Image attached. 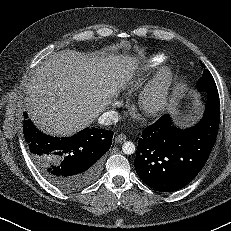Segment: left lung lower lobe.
<instances>
[{
  "label": "left lung lower lobe",
  "mask_w": 231,
  "mask_h": 231,
  "mask_svg": "<svg viewBox=\"0 0 231 231\" xmlns=\"http://www.w3.org/2000/svg\"><path fill=\"white\" fill-rule=\"evenodd\" d=\"M220 120L217 92H207L202 119L180 129L170 115L144 129L138 141L135 168L140 179L160 192H172L189 184L205 165L216 141Z\"/></svg>",
  "instance_id": "0a47b994"
}]
</instances>
